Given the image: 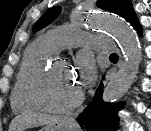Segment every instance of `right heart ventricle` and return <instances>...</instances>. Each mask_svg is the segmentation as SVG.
I'll return each instance as SVG.
<instances>
[{"mask_svg": "<svg viewBox=\"0 0 151 131\" xmlns=\"http://www.w3.org/2000/svg\"><path fill=\"white\" fill-rule=\"evenodd\" d=\"M55 52L56 49L44 37L26 48L10 96L13 111L22 113L37 108L29 94L30 80L38 67Z\"/></svg>", "mask_w": 151, "mask_h": 131, "instance_id": "obj_1", "label": "right heart ventricle"}]
</instances>
